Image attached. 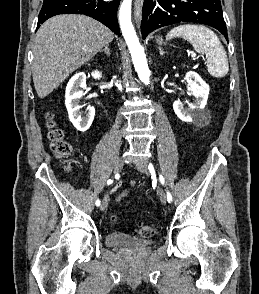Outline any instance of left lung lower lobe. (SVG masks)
I'll return each mask as SVG.
<instances>
[{
  "mask_svg": "<svg viewBox=\"0 0 259 294\" xmlns=\"http://www.w3.org/2000/svg\"><path fill=\"white\" fill-rule=\"evenodd\" d=\"M142 14L143 39L163 26L196 22L216 28L228 40L220 0H145Z\"/></svg>",
  "mask_w": 259,
  "mask_h": 294,
  "instance_id": "1",
  "label": "left lung lower lobe"
}]
</instances>
